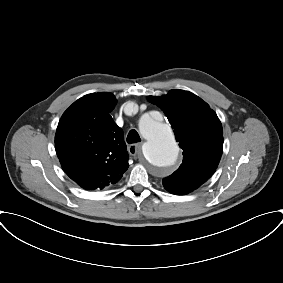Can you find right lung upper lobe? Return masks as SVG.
Here are the masks:
<instances>
[{
    "label": "right lung upper lobe",
    "mask_w": 283,
    "mask_h": 283,
    "mask_svg": "<svg viewBox=\"0 0 283 283\" xmlns=\"http://www.w3.org/2000/svg\"><path fill=\"white\" fill-rule=\"evenodd\" d=\"M116 99L108 92L75 101L62 115L55 148L65 173L84 189H103L118 182L128 169L123 131L109 112ZM63 166V165H62Z\"/></svg>",
    "instance_id": "right-lung-upper-lobe-1"
}]
</instances>
